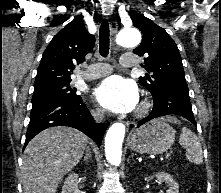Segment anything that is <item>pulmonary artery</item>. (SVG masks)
Here are the masks:
<instances>
[{"label": "pulmonary artery", "instance_id": "pulmonary-artery-1", "mask_svg": "<svg viewBox=\"0 0 221 193\" xmlns=\"http://www.w3.org/2000/svg\"><path fill=\"white\" fill-rule=\"evenodd\" d=\"M120 63L125 68H131L137 64L135 57L130 55H124L120 59ZM112 72V67L108 64H97L94 66V69L86 72L82 75L84 80H94L98 78L105 77Z\"/></svg>", "mask_w": 221, "mask_h": 193}]
</instances>
